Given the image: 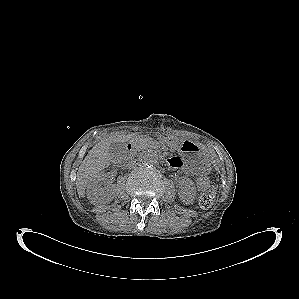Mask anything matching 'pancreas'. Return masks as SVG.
I'll return each mask as SVG.
<instances>
[{"label": "pancreas", "instance_id": "pancreas-1", "mask_svg": "<svg viewBox=\"0 0 299 299\" xmlns=\"http://www.w3.org/2000/svg\"><path fill=\"white\" fill-rule=\"evenodd\" d=\"M152 141L146 137H137L135 138L134 144L138 148H145L147 147Z\"/></svg>", "mask_w": 299, "mask_h": 299}]
</instances>
